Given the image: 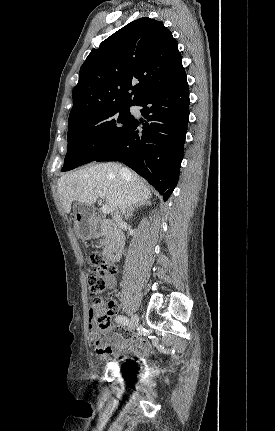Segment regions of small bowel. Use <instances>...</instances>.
<instances>
[{"mask_svg":"<svg viewBox=\"0 0 275 431\" xmlns=\"http://www.w3.org/2000/svg\"><path fill=\"white\" fill-rule=\"evenodd\" d=\"M106 284L109 289L115 285V279L112 276L107 277ZM115 304L110 312V318L115 311ZM97 308L89 310V338L95 346V352L98 357L108 355H126L133 354L142 357L148 350L145 340L134 334L123 335L113 331V326L109 323L104 330H99L95 324V315Z\"/></svg>","mask_w":275,"mask_h":431,"instance_id":"small-bowel-1","label":"small bowel"}]
</instances>
